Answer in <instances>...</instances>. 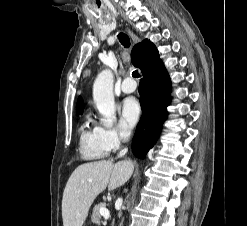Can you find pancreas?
<instances>
[{
	"instance_id": "obj_1",
	"label": "pancreas",
	"mask_w": 247,
	"mask_h": 226,
	"mask_svg": "<svg viewBox=\"0 0 247 226\" xmlns=\"http://www.w3.org/2000/svg\"><path fill=\"white\" fill-rule=\"evenodd\" d=\"M101 208H105V204L100 203L98 205H95V207L93 208V213H92V222L100 225L101 224V214H100V209Z\"/></svg>"
}]
</instances>
